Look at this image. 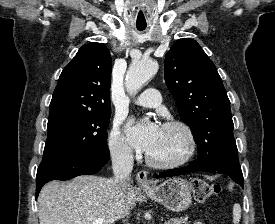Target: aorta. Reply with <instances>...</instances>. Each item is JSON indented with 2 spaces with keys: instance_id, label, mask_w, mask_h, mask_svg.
Segmentation results:
<instances>
[{
  "instance_id": "1",
  "label": "aorta",
  "mask_w": 275,
  "mask_h": 224,
  "mask_svg": "<svg viewBox=\"0 0 275 224\" xmlns=\"http://www.w3.org/2000/svg\"><path fill=\"white\" fill-rule=\"evenodd\" d=\"M158 63L152 59L133 62L126 74L125 87L129 94H136L157 72Z\"/></svg>"
}]
</instances>
